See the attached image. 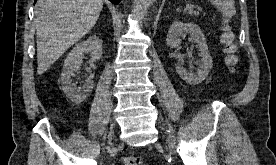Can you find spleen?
I'll list each match as a JSON object with an SVG mask.
<instances>
[{
	"label": "spleen",
	"instance_id": "spleen-1",
	"mask_svg": "<svg viewBox=\"0 0 276 165\" xmlns=\"http://www.w3.org/2000/svg\"><path fill=\"white\" fill-rule=\"evenodd\" d=\"M216 6L225 19H230L236 14L234 0H208Z\"/></svg>",
	"mask_w": 276,
	"mask_h": 165
}]
</instances>
